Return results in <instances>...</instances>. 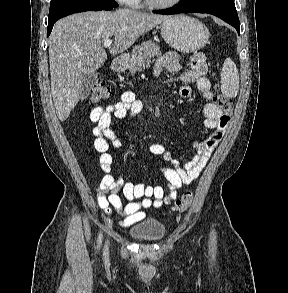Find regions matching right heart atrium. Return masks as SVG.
<instances>
[{
  "mask_svg": "<svg viewBox=\"0 0 288 293\" xmlns=\"http://www.w3.org/2000/svg\"><path fill=\"white\" fill-rule=\"evenodd\" d=\"M117 2L125 5L131 4L134 0H116Z\"/></svg>",
  "mask_w": 288,
  "mask_h": 293,
  "instance_id": "1",
  "label": "right heart atrium"
}]
</instances>
